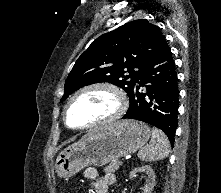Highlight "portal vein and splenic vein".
Listing matches in <instances>:
<instances>
[{
	"instance_id": "portal-vein-and-splenic-vein-1",
	"label": "portal vein and splenic vein",
	"mask_w": 221,
	"mask_h": 193,
	"mask_svg": "<svg viewBox=\"0 0 221 193\" xmlns=\"http://www.w3.org/2000/svg\"><path fill=\"white\" fill-rule=\"evenodd\" d=\"M119 164H120V165H122V164H123V162H122V161H119Z\"/></svg>"
}]
</instances>
